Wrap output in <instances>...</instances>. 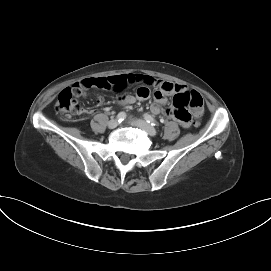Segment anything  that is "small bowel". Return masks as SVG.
<instances>
[{"mask_svg": "<svg viewBox=\"0 0 271 271\" xmlns=\"http://www.w3.org/2000/svg\"><path fill=\"white\" fill-rule=\"evenodd\" d=\"M92 82H95V87L98 90H104L106 93H110L111 95H119L117 101L121 105H131L138 101L149 99L151 96L150 88L154 87V102L150 108L151 112L153 114L165 113L168 117L177 120L184 128H188L191 125V114L188 110L184 108L179 109L174 105L169 108L164 107L167 96L189 93L187 88L183 85L158 80L152 76L139 73L111 75L108 77H98L96 79H86L83 81V83ZM135 83L142 84L136 94H125L129 90V85ZM82 95H86V92H83ZM98 101H103L102 96H98Z\"/></svg>", "mask_w": 271, "mask_h": 271, "instance_id": "small-bowel-1", "label": "small bowel"}]
</instances>
